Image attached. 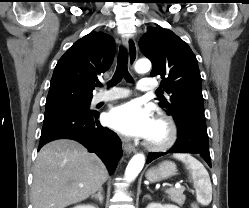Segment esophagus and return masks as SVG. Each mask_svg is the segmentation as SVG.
I'll return each instance as SVG.
<instances>
[{
  "label": "esophagus",
  "instance_id": "obj_1",
  "mask_svg": "<svg viewBox=\"0 0 249 208\" xmlns=\"http://www.w3.org/2000/svg\"><path fill=\"white\" fill-rule=\"evenodd\" d=\"M124 44L126 45L128 50L129 65L131 68H133L138 56L137 44L132 36L124 38ZM123 147L126 154H132L136 152L135 146L128 140L123 141Z\"/></svg>",
  "mask_w": 249,
  "mask_h": 208
}]
</instances>
